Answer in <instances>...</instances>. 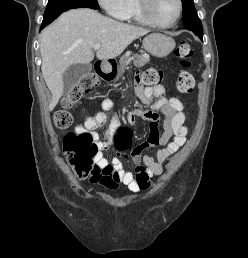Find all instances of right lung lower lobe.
Listing matches in <instances>:
<instances>
[{
    "instance_id": "1",
    "label": "right lung lower lobe",
    "mask_w": 248,
    "mask_h": 258,
    "mask_svg": "<svg viewBox=\"0 0 248 258\" xmlns=\"http://www.w3.org/2000/svg\"><path fill=\"white\" fill-rule=\"evenodd\" d=\"M87 8H91V7H87ZM94 9V8H93ZM60 15V14H59ZM59 15L53 17V18H50L48 20H43L42 24H41V28L40 30H42L43 28H45V26H47L48 24H50L53 20H55Z\"/></svg>"
}]
</instances>
